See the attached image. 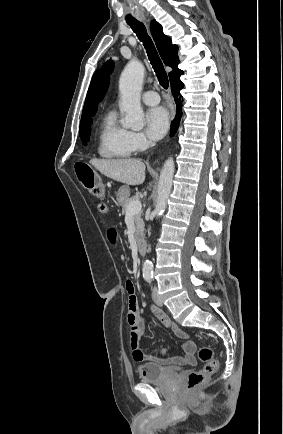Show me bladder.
Listing matches in <instances>:
<instances>
[{"mask_svg": "<svg viewBox=\"0 0 283 434\" xmlns=\"http://www.w3.org/2000/svg\"><path fill=\"white\" fill-rule=\"evenodd\" d=\"M178 374V369L156 364H145L140 368L139 378L144 382H162Z\"/></svg>", "mask_w": 283, "mask_h": 434, "instance_id": "bladder-1", "label": "bladder"}]
</instances>
